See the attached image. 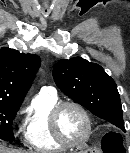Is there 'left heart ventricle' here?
I'll list each match as a JSON object with an SVG mask.
<instances>
[{
  "label": "left heart ventricle",
  "mask_w": 130,
  "mask_h": 153,
  "mask_svg": "<svg viewBox=\"0 0 130 153\" xmlns=\"http://www.w3.org/2000/svg\"><path fill=\"white\" fill-rule=\"evenodd\" d=\"M59 127L70 141H80L86 132V122L81 112L72 106L65 107L59 115Z\"/></svg>",
  "instance_id": "1"
}]
</instances>
